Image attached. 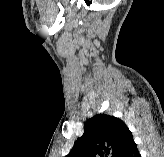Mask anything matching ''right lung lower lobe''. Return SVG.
<instances>
[{"instance_id": "right-lung-lower-lobe-1", "label": "right lung lower lobe", "mask_w": 164, "mask_h": 157, "mask_svg": "<svg viewBox=\"0 0 164 157\" xmlns=\"http://www.w3.org/2000/svg\"><path fill=\"white\" fill-rule=\"evenodd\" d=\"M120 157H141L133 140L128 144Z\"/></svg>"}]
</instances>
